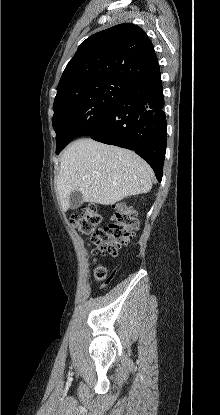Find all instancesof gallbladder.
I'll use <instances>...</instances> for the list:
<instances>
[{
    "mask_svg": "<svg viewBox=\"0 0 220 415\" xmlns=\"http://www.w3.org/2000/svg\"><path fill=\"white\" fill-rule=\"evenodd\" d=\"M82 194L79 191H74L69 196V208L77 209L82 203Z\"/></svg>",
    "mask_w": 220,
    "mask_h": 415,
    "instance_id": "1",
    "label": "gallbladder"
}]
</instances>
